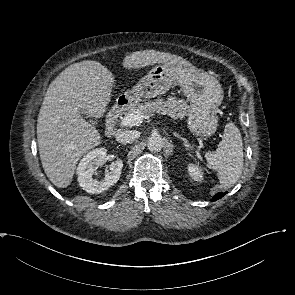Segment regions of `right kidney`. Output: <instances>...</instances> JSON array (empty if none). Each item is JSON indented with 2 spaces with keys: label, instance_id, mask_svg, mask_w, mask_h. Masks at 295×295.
Segmentation results:
<instances>
[{
  "label": "right kidney",
  "instance_id": "1",
  "mask_svg": "<svg viewBox=\"0 0 295 295\" xmlns=\"http://www.w3.org/2000/svg\"><path fill=\"white\" fill-rule=\"evenodd\" d=\"M107 150L97 148L87 153L77 167L79 185L88 193H101L113 186L120 178L123 162L113 161L104 179L97 181L93 178L94 166L103 165L106 161Z\"/></svg>",
  "mask_w": 295,
  "mask_h": 295
}]
</instances>
